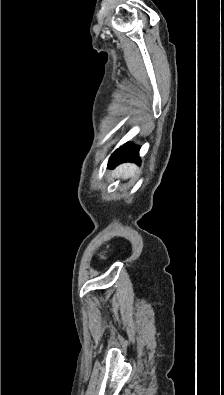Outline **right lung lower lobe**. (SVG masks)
Returning <instances> with one entry per match:
<instances>
[{"instance_id": "1", "label": "right lung lower lobe", "mask_w": 224, "mask_h": 395, "mask_svg": "<svg viewBox=\"0 0 224 395\" xmlns=\"http://www.w3.org/2000/svg\"><path fill=\"white\" fill-rule=\"evenodd\" d=\"M123 162H137L140 163L139 147L129 145L128 143L117 149L110 157L108 167L114 168Z\"/></svg>"}]
</instances>
